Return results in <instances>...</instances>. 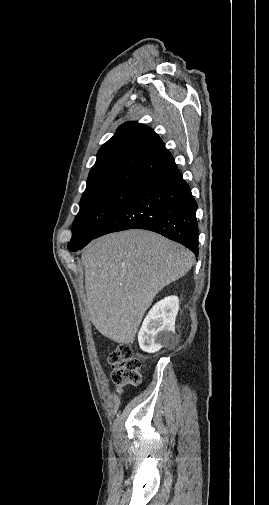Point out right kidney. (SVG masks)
I'll return each mask as SVG.
<instances>
[{
    "label": "right kidney",
    "instance_id": "1",
    "mask_svg": "<svg viewBox=\"0 0 269 505\" xmlns=\"http://www.w3.org/2000/svg\"><path fill=\"white\" fill-rule=\"evenodd\" d=\"M179 310L177 296L156 303L145 317L138 334L140 348L155 353L175 340V319Z\"/></svg>",
    "mask_w": 269,
    "mask_h": 505
}]
</instances>
